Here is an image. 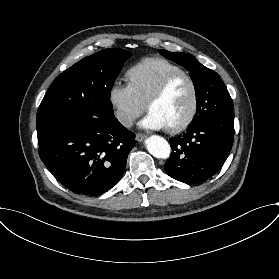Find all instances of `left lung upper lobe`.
<instances>
[{
	"mask_svg": "<svg viewBox=\"0 0 279 279\" xmlns=\"http://www.w3.org/2000/svg\"><path fill=\"white\" fill-rule=\"evenodd\" d=\"M159 52L190 71L197 101V112L191 124L205 118L234 120L232 99L215 71L203 66L187 53H173L162 49H159Z\"/></svg>",
	"mask_w": 279,
	"mask_h": 279,
	"instance_id": "left-lung-upper-lobe-1",
	"label": "left lung upper lobe"
}]
</instances>
